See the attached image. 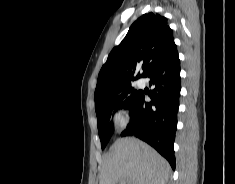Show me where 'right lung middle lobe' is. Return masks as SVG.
Segmentation results:
<instances>
[{
  "label": "right lung middle lobe",
  "mask_w": 235,
  "mask_h": 184,
  "mask_svg": "<svg viewBox=\"0 0 235 184\" xmlns=\"http://www.w3.org/2000/svg\"><path fill=\"white\" fill-rule=\"evenodd\" d=\"M140 90L135 89L132 84L118 86L110 90L111 102L108 105L95 107L97 115L98 133L102 149L109 142L113 127L109 124L110 116L119 108H129L139 95Z\"/></svg>",
  "instance_id": "dd1d6c3e"
}]
</instances>
